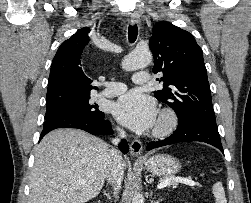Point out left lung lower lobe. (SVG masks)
Returning <instances> with one entry per match:
<instances>
[{
    "label": "left lung lower lobe",
    "instance_id": "1",
    "mask_svg": "<svg viewBox=\"0 0 251 203\" xmlns=\"http://www.w3.org/2000/svg\"><path fill=\"white\" fill-rule=\"evenodd\" d=\"M188 141L205 142L223 152L216 123L203 119H194L184 125H178L176 131L171 136L161 141L150 142L146 149L152 150L154 148Z\"/></svg>",
    "mask_w": 251,
    "mask_h": 203
}]
</instances>
